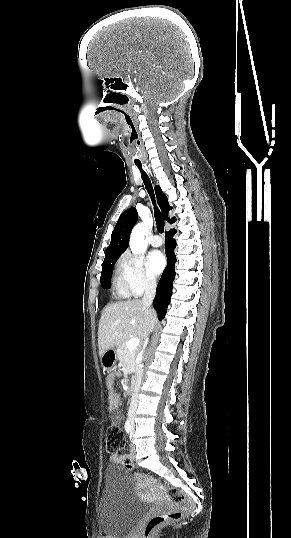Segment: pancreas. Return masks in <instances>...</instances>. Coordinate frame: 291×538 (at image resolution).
Masks as SVG:
<instances>
[{"mask_svg": "<svg viewBox=\"0 0 291 538\" xmlns=\"http://www.w3.org/2000/svg\"><path fill=\"white\" fill-rule=\"evenodd\" d=\"M126 343L127 341H124L118 345L116 350L117 358L122 365V370L124 372L132 373L136 367L135 358L138 353V349L131 350L127 348Z\"/></svg>", "mask_w": 291, "mask_h": 538, "instance_id": "pancreas-1", "label": "pancreas"}]
</instances>
